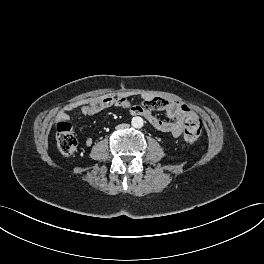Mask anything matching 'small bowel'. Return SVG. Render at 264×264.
<instances>
[{
  "label": "small bowel",
  "instance_id": "obj_1",
  "mask_svg": "<svg viewBox=\"0 0 264 264\" xmlns=\"http://www.w3.org/2000/svg\"><path fill=\"white\" fill-rule=\"evenodd\" d=\"M132 92L124 91L117 94L103 95L84 99L66 106L57 115L60 120H67L68 112L78 109L83 115L92 116L111 107H120L127 109L131 114L137 115L142 113L150 124L161 132L172 134L179 137L183 131L184 121L187 118L194 117V112L186 105L179 101L169 100L161 97H155L149 93L137 94L143 101V105L131 104L128 97L134 96ZM152 110L164 111L171 121H165L157 118ZM87 146L93 144L91 138L85 141Z\"/></svg>",
  "mask_w": 264,
  "mask_h": 264
}]
</instances>
